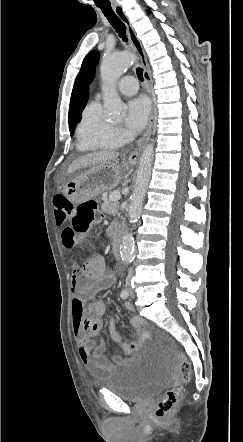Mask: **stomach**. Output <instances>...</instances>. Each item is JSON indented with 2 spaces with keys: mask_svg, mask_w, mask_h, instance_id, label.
<instances>
[{
  "mask_svg": "<svg viewBox=\"0 0 243 442\" xmlns=\"http://www.w3.org/2000/svg\"><path fill=\"white\" fill-rule=\"evenodd\" d=\"M125 166H131V161H125ZM123 167L111 161L93 166L81 175L70 179L64 194L73 202H84L99 194L112 190L122 179Z\"/></svg>",
  "mask_w": 243,
  "mask_h": 442,
  "instance_id": "obj_1",
  "label": "stomach"
}]
</instances>
